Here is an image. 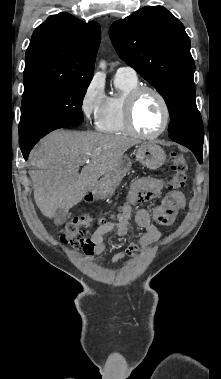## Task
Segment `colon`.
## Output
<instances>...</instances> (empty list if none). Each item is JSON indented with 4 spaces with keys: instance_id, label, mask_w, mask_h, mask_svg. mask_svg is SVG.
<instances>
[{
    "instance_id": "colon-1",
    "label": "colon",
    "mask_w": 221,
    "mask_h": 379,
    "mask_svg": "<svg viewBox=\"0 0 221 379\" xmlns=\"http://www.w3.org/2000/svg\"><path fill=\"white\" fill-rule=\"evenodd\" d=\"M171 176L169 180V188L173 191L182 189L187 181L188 163L183 155L179 153L171 154ZM91 224V219L88 216L75 217L68 222L60 235L61 241L74 245L85 247L88 244L87 228Z\"/></svg>"
}]
</instances>
